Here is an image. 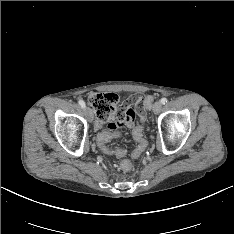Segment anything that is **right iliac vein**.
I'll list each match as a JSON object with an SVG mask.
<instances>
[{
    "mask_svg": "<svg viewBox=\"0 0 234 234\" xmlns=\"http://www.w3.org/2000/svg\"><path fill=\"white\" fill-rule=\"evenodd\" d=\"M84 112H85V115H86L87 119H88L90 122H92V120H93V114H92L91 109H90L89 107H85V108H84Z\"/></svg>",
    "mask_w": 234,
    "mask_h": 234,
    "instance_id": "right-iliac-vein-1",
    "label": "right iliac vein"
}]
</instances>
